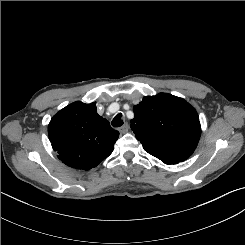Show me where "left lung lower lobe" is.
I'll return each instance as SVG.
<instances>
[{"label": "left lung lower lobe", "instance_id": "0a47b994", "mask_svg": "<svg viewBox=\"0 0 245 245\" xmlns=\"http://www.w3.org/2000/svg\"><path fill=\"white\" fill-rule=\"evenodd\" d=\"M144 150L146 152H148L149 154L153 155L154 157L158 158L159 160H161L163 163L171 165V164H178L181 161H184L185 159L177 157V156H172L169 154H165L159 151H154V150H149L144 148Z\"/></svg>", "mask_w": 245, "mask_h": 245}]
</instances>
